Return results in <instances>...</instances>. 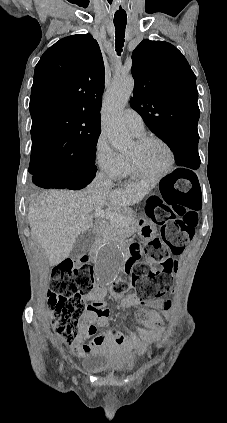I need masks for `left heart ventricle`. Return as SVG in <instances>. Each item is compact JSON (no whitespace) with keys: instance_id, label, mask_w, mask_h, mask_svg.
I'll return each mask as SVG.
<instances>
[{"instance_id":"b2bd125f","label":"left heart ventricle","mask_w":227,"mask_h":423,"mask_svg":"<svg viewBox=\"0 0 227 423\" xmlns=\"http://www.w3.org/2000/svg\"><path fill=\"white\" fill-rule=\"evenodd\" d=\"M128 154L133 155L138 167L149 174L161 172L168 162L166 150L157 142H150L144 146H137L134 142Z\"/></svg>"}]
</instances>
